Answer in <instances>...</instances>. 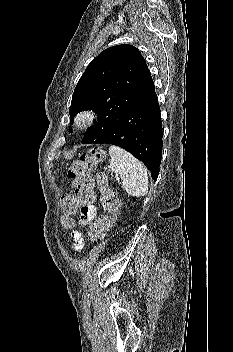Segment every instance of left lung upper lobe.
I'll list each match as a JSON object with an SVG mask.
<instances>
[{
	"mask_svg": "<svg viewBox=\"0 0 233 352\" xmlns=\"http://www.w3.org/2000/svg\"><path fill=\"white\" fill-rule=\"evenodd\" d=\"M154 90L149 69L137 48L116 45L101 52L78 81L69 109L72 118L83 110H93L98 115L82 143H91L105 133L123 113Z\"/></svg>",
	"mask_w": 233,
	"mask_h": 352,
	"instance_id": "1",
	"label": "left lung upper lobe"
}]
</instances>
